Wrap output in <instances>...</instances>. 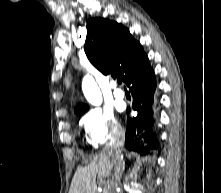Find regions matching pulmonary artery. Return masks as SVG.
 <instances>
[{"label": "pulmonary artery", "mask_w": 221, "mask_h": 193, "mask_svg": "<svg viewBox=\"0 0 221 193\" xmlns=\"http://www.w3.org/2000/svg\"><path fill=\"white\" fill-rule=\"evenodd\" d=\"M111 87L113 89V94L118 99H123L125 97V93L122 89L118 88L115 82L111 83Z\"/></svg>", "instance_id": "pulmonary-artery-1"}]
</instances>
